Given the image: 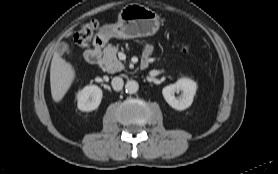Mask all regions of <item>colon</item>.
<instances>
[{
  "mask_svg": "<svg viewBox=\"0 0 278 174\" xmlns=\"http://www.w3.org/2000/svg\"><path fill=\"white\" fill-rule=\"evenodd\" d=\"M97 27H98V24L95 21H90V22L82 25L81 28L79 29L78 33L75 35V41L78 44L84 45L91 39V37L95 33ZM182 47H183L184 51H189V46L183 44Z\"/></svg>",
  "mask_w": 278,
  "mask_h": 174,
  "instance_id": "colon-1",
  "label": "colon"
}]
</instances>
